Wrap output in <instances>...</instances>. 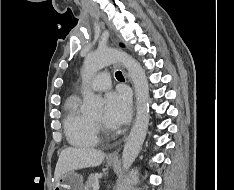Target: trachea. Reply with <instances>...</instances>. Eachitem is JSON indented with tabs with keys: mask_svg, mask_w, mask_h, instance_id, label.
Wrapping results in <instances>:
<instances>
[{
	"mask_svg": "<svg viewBox=\"0 0 234 190\" xmlns=\"http://www.w3.org/2000/svg\"><path fill=\"white\" fill-rule=\"evenodd\" d=\"M115 76H116V78L118 80H123L124 79V77H123V75H122V73L120 71L116 72Z\"/></svg>",
	"mask_w": 234,
	"mask_h": 190,
	"instance_id": "trachea-1",
	"label": "trachea"
}]
</instances>
